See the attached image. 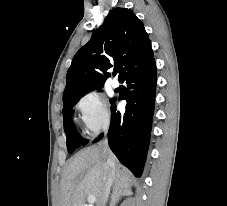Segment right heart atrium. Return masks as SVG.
Here are the masks:
<instances>
[{"mask_svg":"<svg viewBox=\"0 0 227 206\" xmlns=\"http://www.w3.org/2000/svg\"><path fill=\"white\" fill-rule=\"evenodd\" d=\"M77 110L85 131L95 136L110 123V113L105 99L96 91L85 93L77 102Z\"/></svg>","mask_w":227,"mask_h":206,"instance_id":"1","label":"right heart atrium"}]
</instances>
